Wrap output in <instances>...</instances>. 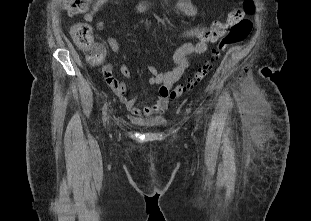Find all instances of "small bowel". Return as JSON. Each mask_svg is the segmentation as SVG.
I'll use <instances>...</instances> for the list:
<instances>
[{
    "label": "small bowel",
    "instance_id": "obj_1",
    "mask_svg": "<svg viewBox=\"0 0 311 221\" xmlns=\"http://www.w3.org/2000/svg\"><path fill=\"white\" fill-rule=\"evenodd\" d=\"M111 0H96L93 6L85 13L84 20L86 22H93L96 15L101 11V9ZM151 9V4L148 2H143L138 6V10L141 13H146ZM176 9L188 17H193L197 15L198 9L190 0H179L176 4ZM96 28L98 30H103L105 28V23L102 21L97 22ZM204 31L202 25L198 24L186 33V36L192 38H200L201 33ZM107 43L110 49L115 54H120V45L118 41L112 37H107ZM98 51L102 55V61L104 67L111 66L107 63L106 49L104 45L99 44L97 46ZM207 50L206 42L201 39L195 43H185L181 45L174 53L173 61L174 67L165 72H160L154 65L148 66V71L150 77L148 83L150 85H158V97L155 102L144 107L139 108L136 105V96L126 97V86L123 82H119L116 87L112 88L119 100L126 106L128 111L137 118H153L162 114L169 102L170 90L173 84L183 75L185 70L188 68L190 59L197 57ZM120 72L125 78L131 76V70L126 64H122L120 67Z\"/></svg>",
    "mask_w": 311,
    "mask_h": 221
}]
</instances>
